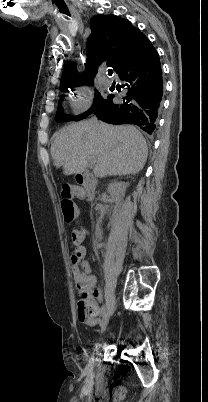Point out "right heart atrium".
<instances>
[{
  "label": "right heart atrium",
  "mask_w": 208,
  "mask_h": 402,
  "mask_svg": "<svg viewBox=\"0 0 208 402\" xmlns=\"http://www.w3.org/2000/svg\"><path fill=\"white\" fill-rule=\"evenodd\" d=\"M94 98V89L89 84L83 83L75 86L70 93V103L74 112L86 109Z\"/></svg>",
  "instance_id": "right-heart-atrium-1"
}]
</instances>
